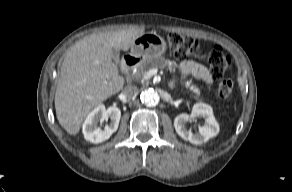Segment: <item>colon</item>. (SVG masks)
Listing matches in <instances>:
<instances>
[{
	"mask_svg": "<svg viewBox=\"0 0 292 192\" xmlns=\"http://www.w3.org/2000/svg\"><path fill=\"white\" fill-rule=\"evenodd\" d=\"M166 40L174 57L180 61L189 60L191 57L202 56L200 44L192 37L173 32L167 35ZM203 56L209 64L211 74L218 79V97L220 99H227L234 88V83L231 79L222 77L231 67L229 54L222 47L214 46Z\"/></svg>",
	"mask_w": 292,
	"mask_h": 192,
	"instance_id": "1",
	"label": "colon"
}]
</instances>
